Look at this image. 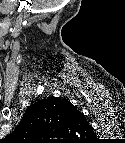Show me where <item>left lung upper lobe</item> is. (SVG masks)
<instances>
[{
    "label": "left lung upper lobe",
    "mask_w": 125,
    "mask_h": 143,
    "mask_svg": "<svg viewBox=\"0 0 125 143\" xmlns=\"http://www.w3.org/2000/svg\"><path fill=\"white\" fill-rule=\"evenodd\" d=\"M67 103H69L67 100L49 97L32 104L7 139L26 140V143H31L33 140L38 141L55 135L79 136V130L92 132L85 118L80 121L75 120L71 125L66 124L65 106Z\"/></svg>",
    "instance_id": "1"
}]
</instances>
